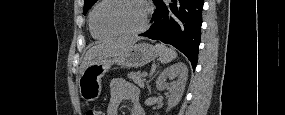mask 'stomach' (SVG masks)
Segmentation results:
<instances>
[{
	"label": "stomach",
	"mask_w": 285,
	"mask_h": 115,
	"mask_svg": "<svg viewBox=\"0 0 285 115\" xmlns=\"http://www.w3.org/2000/svg\"><path fill=\"white\" fill-rule=\"evenodd\" d=\"M158 55L154 46L137 43L119 56L91 63L80 73L78 79L80 96L87 102L97 100L102 90L101 79L113 64L139 68L154 60Z\"/></svg>",
	"instance_id": "0dacf381"
}]
</instances>
